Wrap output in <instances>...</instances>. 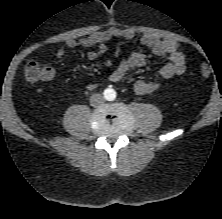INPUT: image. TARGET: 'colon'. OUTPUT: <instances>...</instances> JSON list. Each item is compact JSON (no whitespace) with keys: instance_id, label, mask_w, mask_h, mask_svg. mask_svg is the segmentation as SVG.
<instances>
[{"instance_id":"obj_1","label":"colon","mask_w":222,"mask_h":219,"mask_svg":"<svg viewBox=\"0 0 222 219\" xmlns=\"http://www.w3.org/2000/svg\"><path fill=\"white\" fill-rule=\"evenodd\" d=\"M198 73L201 77H209L211 68L207 63H201L198 67ZM48 76L47 67L35 59H28L24 65V77L30 84H36Z\"/></svg>"}]
</instances>
